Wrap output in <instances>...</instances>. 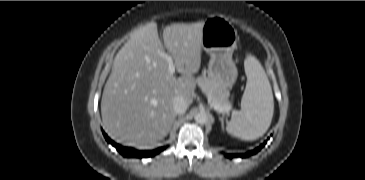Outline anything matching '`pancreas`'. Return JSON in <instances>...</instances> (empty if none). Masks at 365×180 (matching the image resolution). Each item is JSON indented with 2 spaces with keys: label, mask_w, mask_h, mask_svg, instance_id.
Listing matches in <instances>:
<instances>
[{
  "label": "pancreas",
  "mask_w": 365,
  "mask_h": 180,
  "mask_svg": "<svg viewBox=\"0 0 365 180\" xmlns=\"http://www.w3.org/2000/svg\"><path fill=\"white\" fill-rule=\"evenodd\" d=\"M197 83L211 102H214L223 108L230 107L228 102V91L225 87L207 77L205 74L197 78Z\"/></svg>",
  "instance_id": "1"
}]
</instances>
